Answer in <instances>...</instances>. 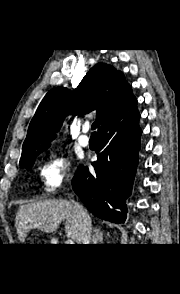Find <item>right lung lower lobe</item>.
<instances>
[{
  "instance_id": "obj_1",
  "label": "right lung lower lobe",
  "mask_w": 180,
  "mask_h": 294,
  "mask_svg": "<svg viewBox=\"0 0 180 294\" xmlns=\"http://www.w3.org/2000/svg\"><path fill=\"white\" fill-rule=\"evenodd\" d=\"M139 118L136 98L110 116L99 127L98 160L92 163L96 173L81 166L72 182L88 210L110 222L126 219L140 150Z\"/></svg>"
}]
</instances>
